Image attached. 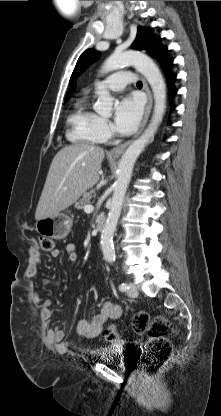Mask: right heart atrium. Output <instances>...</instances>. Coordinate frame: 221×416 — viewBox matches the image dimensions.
<instances>
[{
    "instance_id": "obj_1",
    "label": "right heart atrium",
    "mask_w": 221,
    "mask_h": 416,
    "mask_svg": "<svg viewBox=\"0 0 221 416\" xmlns=\"http://www.w3.org/2000/svg\"><path fill=\"white\" fill-rule=\"evenodd\" d=\"M99 131L104 139H108L112 135V130L109 122L103 118L100 119Z\"/></svg>"
}]
</instances>
